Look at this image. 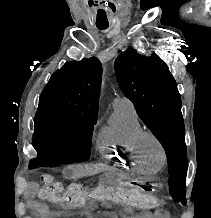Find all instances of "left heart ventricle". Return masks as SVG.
Returning <instances> with one entry per match:
<instances>
[{"mask_svg": "<svg viewBox=\"0 0 211 218\" xmlns=\"http://www.w3.org/2000/svg\"><path fill=\"white\" fill-rule=\"evenodd\" d=\"M141 158L154 166L160 164V151L151 138H145L140 147Z\"/></svg>", "mask_w": 211, "mask_h": 218, "instance_id": "1", "label": "left heart ventricle"}]
</instances>
